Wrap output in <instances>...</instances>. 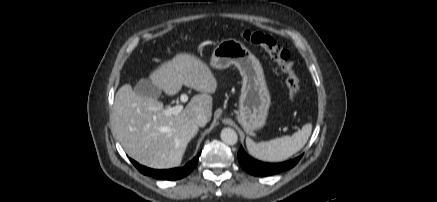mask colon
Here are the masks:
<instances>
[{"mask_svg": "<svg viewBox=\"0 0 437 202\" xmlns=\"http://www.w3.org/2000/svg\"><path fill=\"white\" fill-rule=\"evenodd\" d=\"M239 37L248 43L260 46L276 62L286 76L285 84L290 99L297 98L300 83L289 51L279 45L272 36L261 31L246 30L241 32Z\"/></svg>", "mask_w": 437, "mask_h": 202, "instance_id": "5ec220e1", "label": "colon"}]
</instances>
